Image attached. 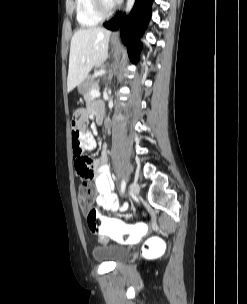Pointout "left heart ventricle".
Masks as SVG:
<instances>
[{"instance_id":"1","label":"left heart ventricle","mask_w":247,"mask_h":304,"mask_svg":"<svg viewBox=\"0 0 247 304\" xmlns=\"http://www.w3.org/2000/svg\"><path fill=\"white\" fill-rule=\"evenodd\" d=\"M105 7L110 8L114 4L112 0H103Z\"/></svg>"}]
</instances>
